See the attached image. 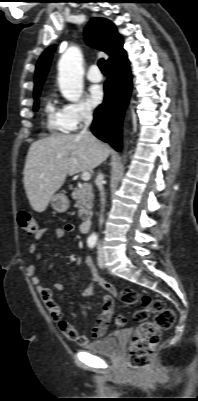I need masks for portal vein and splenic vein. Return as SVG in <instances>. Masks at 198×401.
I'll return each instance as SVG.
<instances>
[{"label":"portal vein and splenic vein","mask_w":198,"mask_h":401,"mask_svg":"<svg viewBox=\"0 0 198 401\" xmlns=\"http://www.w3.org/2000/svg\"><path fill=\"white\" fill-rule=\"evenodd\" d=\"M90 178H91V174H90L89 172H84V173H82V175H81V179H82L83 181H89Z\"/></svg>","instance_id":"portal-vein-and-splenic-vein-1"}]
</instances>
